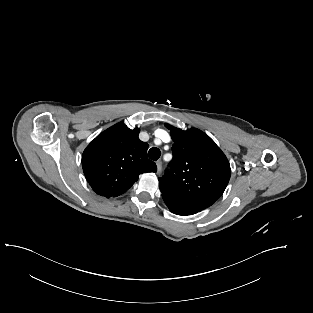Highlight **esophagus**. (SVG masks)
<instances>
[{
    "instance_id": "34e87169",
    "label": "esophagus",
    "mask_w": 313,
    "mask_h": 313,
    "mask_svg": "<svg viewBox=\"0 0 313 313\" xmlns=\"http://www.w3.org/2000/svg\"><path fill=\"white\" fill-rule=\"evenodd\" d=\"M156 166H157V174H159L161 172L162 162L160 160H158L156 162Z\"/></svg>"
}]
</instances>
